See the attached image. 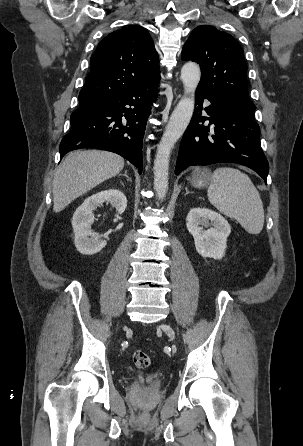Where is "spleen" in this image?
<instances>
[{"instance_id":"1","label":"spleen","mask_w":303,"mask_h":446,"mask_svg":"<svg viewBox=\"0 0 303 446\" xmlns=\"http://www.w3.org/2000/svg\"><path fill=\"white\" fill-rule=\"evenodd\" d=\"M210 203L225 216L237 220L250 234H259L264 225L260 194L245 173L232 167L217 168L207 190Z\"/></svg>"}]
</instances>
